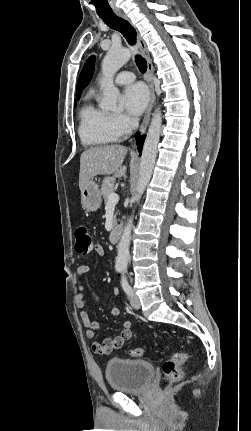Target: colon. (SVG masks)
<instances>
[{
  "instance_id": "obj_1",
  "label": "colon",
  "mask_w": 251,
  "mask_h": 431,
  "mask_svg": "<svg viewBox=\"0 0 251 431\" xmlns=\"http://www.w3.org/2000/svg\"><path fill=\"white\" fill-rule=\"evenodd\" d=\"M75 241V249L80 255H88L95 247L89 229L82 225L78 226L75 230ZM129 354L132 357H141L143 355V349H131ZM189 359V353L178 352L163 363L162 372L165 380L169 384H175L183 378V369Z\"/></svg>"
}]
</instances>
